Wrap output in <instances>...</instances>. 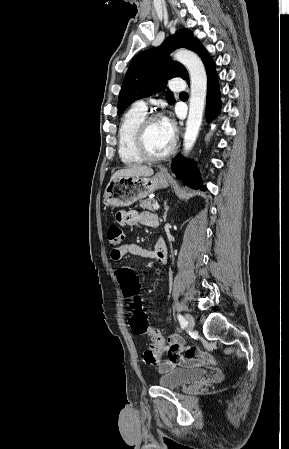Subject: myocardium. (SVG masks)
<instances>
[{
    "mask_svg": "<svg viewBox=\"0 0 289 449\" xmlns=\"http://www.w3.org/2000/svg\"><path fill=\"white\" fill-rule=\"evenodd\" d=\"M158 120H162V116L159 114H151L146 116L142 122L140 123L136 135H135V146L138 154L147 161H161L169 158L176 150L177 147V139L174 135L173 142L170 146V148L161 155H154L150 153V151L147 148L146 143V134L148 131L149 126Z\"/></svg>",
    "mask_w": 289,
    "mask_h": 449,
    "instance_id": "f54148a6",
    "label": "myocardium"
}]
</instances>
